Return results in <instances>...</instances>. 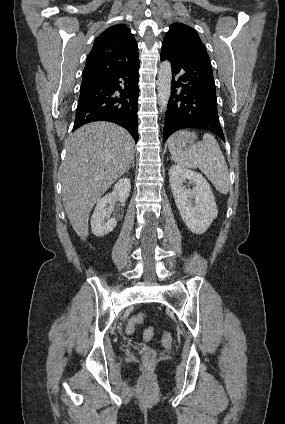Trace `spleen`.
<instances>
[{
    "instance_id": "obj_1",
    "label": "spleen",
    "mask_w": 285,
    "mask_h": 424,
    "mask_svg": "<svg viewBox=\"0 0 285 424\" xmlns=\"http://www.w3.org/2000/svg\"><path fill=\"white\" fill-rule=\"evenodd\" d=\"M194 132L181 131L176 137H195ZM169 151L173 160L182 167L199 168L211 181L217 191L227 194L230 189L229 172L226 160L216 139L211 134H204L203 140L183 147L170 138Z\"/></svg>"
}]
</instances>
